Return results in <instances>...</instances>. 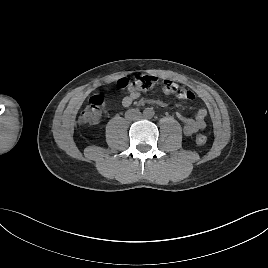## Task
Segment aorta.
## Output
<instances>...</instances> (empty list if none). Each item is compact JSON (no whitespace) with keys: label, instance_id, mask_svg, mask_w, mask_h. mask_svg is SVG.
<instances>
[{"label":"aorta","instance_id":"1","mask_svg":"<svg viewBox=\"0 0 268 268\" xmlns=\"http://www.w3.org/2000/svg\"><path fill=\"white\" fill-rule=\"evenodd\" d=\"M143 115L145 118H152L154 116V110L152 108H146L143 111Z\"/></svg>","mask_w":268,"mask_h":268}]
</instances>
